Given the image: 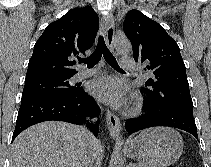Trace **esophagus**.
<instances>
[{
    "label": "esophagus",
    "mask_w": 211,
    "mask_h": 167,
    "mask_svg": "<svg viewBox=\"0 0 211 167\" xmlns=\"http://www.w3.org/2000/svg\"><path fill=\"white\" fill-rule=\"evenodd\" d=\"M105 39L108 48L114 53V19L113 16L110 15L108 17V21L105 25ZM106 121L108 125V130L110 133V136L112 138H116L118 136L119 130H120V120L119 117L114 114L112 111L107 110L106 111Z\"/></svg>",
    "instance_id": "obj_1"
}]
</instances>
